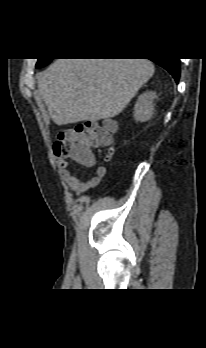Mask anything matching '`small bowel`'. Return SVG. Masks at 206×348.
<instances>
[{
  "instance_id": "1",
  "label": "small bowel",
  "mask_w": 206,
  "mask_h": 348,
  "mask_svg": "<svg viewBox=\"0 0 206 348\" xmlns=\"http://www.w3.org/2000/svg\"><path fill=\"white\" fill-rule=\"evenodd\" d=\"M95 161L88 166L94 165ZM58 164L61 169V174L64 181L70 187V189L76 194H81L89 189L97 187L106 175V168L103 165L96 167L95 174L85 180H81L72 175L69 171V164L64 159H59Z\"/></svg>"
}]
</instances>
